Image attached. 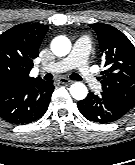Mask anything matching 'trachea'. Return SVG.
Returning <instances> with one entry per match:
<instances>
[{
  "mask_svg": "<svg viewBox=\"0 0 135 165\" xmlns=\"http://www.w3.org/2000/svg\"><path fill=\"white\" fill-rule=\"evenodd\" d=\"M53 76L52 74L50 73H47L45 76H44V79L45 80H52ZM70 78L73 79V80H82V78L78 75V74H71L70 75Z\"/></svg>",
  "mask_w": 135,
  "mask_h": 165,
  "instance_id": "3493384b",
  "label": "trachea"
}]
</instances>
